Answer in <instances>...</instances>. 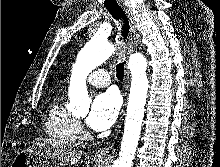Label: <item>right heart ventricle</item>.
Returning a JSON list of instances; mask_svg holds the SVG:
<instances>
[{"label":"right heart ventricle","instance_id":"right-heart-ventricle-1","mask_svg":"<svg viewBox=\"0 0 220 167\" xmlns=\"http://www.w3.org/2000/svg\"><path fill=\"white\" fill-rule=\"evenodd\" d=\"M46 135L56 144L73 146L79 138L80 126L76 117L63 105L60 97L51 102L44 124Z\"/></svg>","mask_w":220,"mask_h":167}]
</instances>
